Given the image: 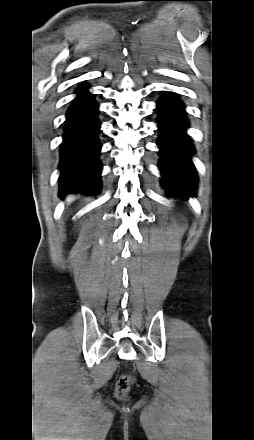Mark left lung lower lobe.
Masks as SVG:
<instances>
[{
  "label": "left lung lower lobe",
  "mask_w": 254,
  "mask_h": 440,
  "mask_svg": "<svg viewBox=\"0 0 254 440\" xmlns=\"http://www.w3.org/2000/svg\"><path fill=\"white\" fill-rule=\"evenodd\" d=\"M156 110L159 112L160 137L157 145L161 153L159 170L162 185L171 196L193 195L197 174L191 161L194 148L186 133L188 123L184 105L170 92L161 97Z\"/></svg>",
  "instance_id": "0a47b994"
}]
</instances>
